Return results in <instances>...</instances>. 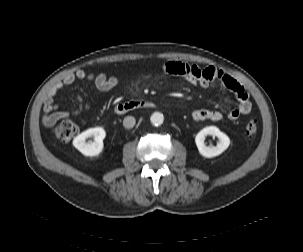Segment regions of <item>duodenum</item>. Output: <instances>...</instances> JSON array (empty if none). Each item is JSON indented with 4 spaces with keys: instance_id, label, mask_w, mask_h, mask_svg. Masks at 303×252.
<instances>
[{
    "instance_id": "410a0bca",
    "label": "duodenum",
    "mask_w": 303,
    "mask_h": 252,
    "mask_svg": "<svg viewBox=\"0 0 303 252\" xmlns=\"http://www.w3.org/2000/svg\"><path fill=\"white\" fill-rule=\"evenodd\" d=\"M154 103L146 99H137L132 100L126 103H119L115 106L114 111L119 114H125L131 110L140 109V108H152Z\"/></svg>"
}]
</instances>
